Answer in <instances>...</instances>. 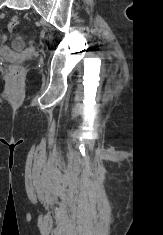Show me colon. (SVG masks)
Segmentation results:
<instances>
[{"mask_svg": "<svg viewBox=\"0 0 163 235\" xmlns=\"http://www.w3.org/2000/svg\"><path fill=\"white\" fill-rule=\"evenodd\" d=\"M18 25H19V18L17 16H14L9 20L7 28L9 31H13ZM18 72L19 68L15 67L13 69V73H18Z\"/></svg>", "mask_w": 163, "mask_h": 235, "instance_id": "5ec220e1", "label": "colon"}]
</instances>
